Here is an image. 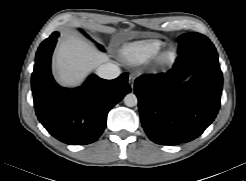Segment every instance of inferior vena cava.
<instances>
[{"mask_svg":"<svg viewBox=\"0 0 246 181\" xmlns=\"http://www.w3.org/2000/svg\"><path fill=\"white\" fill-rule=\"evenodd\" d=\"M96 73L100 78L111 80L117 78L121 74V70L116 64L106 63L99 66Z\"/></svg>","mask_w":246,"mask_h":181,"instance_id":"obj_1","label":"inferior vena cava"}]
</instances>
